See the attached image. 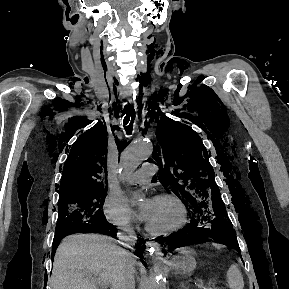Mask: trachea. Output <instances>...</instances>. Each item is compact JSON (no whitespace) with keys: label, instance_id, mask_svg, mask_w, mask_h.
<instances>
[{"label":"trachea","instance_id":"obj_1","mask_svg":"<svg viewBox=\"0 0 289 289\" xmlns=\"http://www.w3.org/2000/svg\"><path fill=\"white\" fill-rule=\"evenodd\" d=\"M126 116L124 117V128L127 134L132 132L133 121L135 118V110L133 107L128 106L125 111Z\"/></svg>","mask_w":289,"mask_h":289}]
</instances>
